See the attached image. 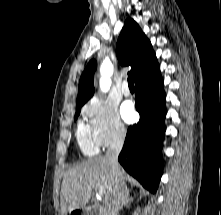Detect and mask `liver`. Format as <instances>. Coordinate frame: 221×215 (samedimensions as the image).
Segmentation results:
<instances>
[{
  "label": "liver",
  "instance_id": "6515ba94",
  "mask_svg": "<svg viewBox=\"0 0 221 215\" xmlns=\"http://www.w3.org/2000/svg\"><path fill=\"white\" fill-rule=\"evenodd\" d=\"M122 177L125 183L127 176L123 171ZM114 187L115 178L106 156H99L78 164L64 175L60 193L61 215L83 208L89 202L92 190L98 192L102 189V194L99 195L106 203L111 198Z\"/></svg>",
  "mask_w": 221,
  "mask_h": 215
}]
</instances>
